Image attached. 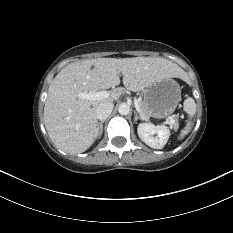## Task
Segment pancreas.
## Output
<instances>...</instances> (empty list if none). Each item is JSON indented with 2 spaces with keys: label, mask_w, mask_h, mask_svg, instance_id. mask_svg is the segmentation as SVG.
<instances>
[{
  "label": "pancreas",
  "mask_w": 233,
  "mask_h": 233,
  "mask_svg": "<svg viewBox=\"0 0 233 233\" xmlns=\"http://www.w3.org/2000/svg\"><path fill=\"white\" fill-rule=\"evenodd\" d=\"M139 106H140V109H141V111H142V114H144V115H147V116H148V111H147V109H146V107H145V105H144V102H143V101H139ZM177 126H178V123H177V122H175L174 127L176 128Z\"/></svg>",
  "instance_id": "obj_1"
}]
</instances>
